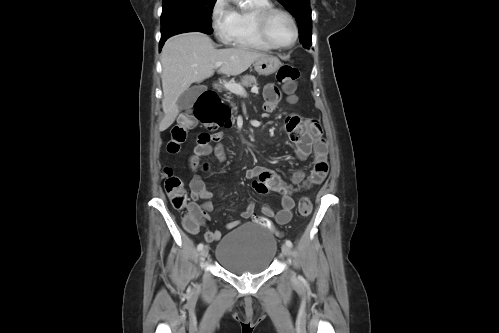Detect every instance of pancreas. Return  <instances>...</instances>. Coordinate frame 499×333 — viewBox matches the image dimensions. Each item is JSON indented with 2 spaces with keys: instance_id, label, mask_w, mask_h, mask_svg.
I'll return each mask as SVG.
<instances>
[{
  "instance_id": "obj_1",
  "label": "pancreas",
  "mask_w": 499,
  "mask_h": 333,
  "mask_svg": "<svg viewBox=\"0 0 499 333\" xmlns=\"http://www.w3.org/2000/svg\"><path fill=\"white\" fill-rule=\"evenodd\" d=\"M240 84H242L244 86H247V87L248 86L251 87V86H257L258 85L257 84V79L253 75H245V76H243L241 78ZM228 99H231V97H228ZM231 105H233V104L231 103Z\"/></svg>"
}]
</instances>
